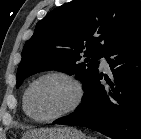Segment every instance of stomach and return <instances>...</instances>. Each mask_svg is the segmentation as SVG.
Returning <instances> with one entry per match:
<instances>
[{
  "label": "stomach",
  "instance_id": "obj_1",
  "mask_svg": "<svg viewBox=\"0 0 141 139\" xmlns=\"http://www.w3.org/2000/svg\"><path fill=\"white\" fill-rule=\"evenodd\" d=\"M22 139H86V136L73 127H53L32 130Z\"/></svg>",
  "mask_w": 141,
  "mask_h": 139
}]
</instances>
